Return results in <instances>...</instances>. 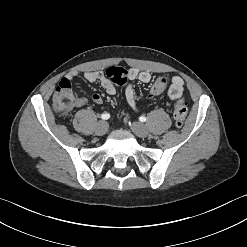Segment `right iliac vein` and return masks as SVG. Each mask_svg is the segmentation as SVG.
Returning <instances> with one entry per match:
<instances>
[{
	"label": "right iliac vein",
	"mask_w": 247,
	"mask_h": 247,
	"mask_svg": "<svg viewBox=\"0 0 247 247\" xmlns=\"http://www.w3.org/2000/svg\"><path fill=\"white\" fill-rule=\"evenodd\" d=\"M108 130V124L106 121H99L95 127V133L99 136L104 135Z\"/></svg>",
	"instance_id": "obj_1"
}]
</instances>
